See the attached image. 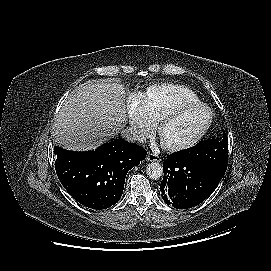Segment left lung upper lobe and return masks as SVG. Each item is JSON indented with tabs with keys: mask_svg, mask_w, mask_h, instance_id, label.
Masks as SVG:
<instances>
[{
	"mask_svg": "<svg viewBox=\"0 0 271 271\" xmlns=\"http://www.w3.org/2000/svg\"><path fill=\"white\" fill-rule=\"evenodd\" d=\"M179 152L225 172L228 164V137L223 133L219 139L201 141L196 146Z\"/></svg>",
	"mask_w": 271,
	"mask_h": 271,
	"instance_id": "1",
	"label": "left lung upper lobe"
}]
</instances>
